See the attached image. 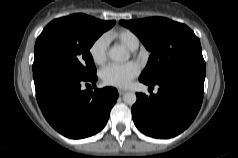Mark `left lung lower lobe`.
Listing matches in <instances>:
<instances>
[{"label": "left lung lower lobe", "instance_id": "left-lung-lower-lobe-1", "mask_svg": "<svg viewBox=\"0 0 238 158\" xmlns=\"http://www.w3.org/2000/svg\"><path fill=\"white\" fill-rule=\"evenodd\" d=\"M205 65H189L161 77L158 93L137 94L132 107L136 127L154 138H171L183 132L195 119L204 93ZM146 84V83H145Z\"/></svg>", "mask_w": 238, "mask_h": 158}]
</instances>
